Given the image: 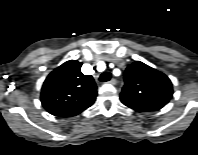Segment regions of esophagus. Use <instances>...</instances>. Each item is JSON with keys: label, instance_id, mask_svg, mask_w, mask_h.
Masks as SVG:
<instances>
[{"label": "esophagus", "instance_id": "1", "mask_svg": "<svg viewBox=\"0 0 198 155\" xmlns=\"http://www.w3.org/2000/svg\"><path fill=\"white\" fill-rule=\"evenodd\" d=\"M108 83L115 85L117 83L116 79L112 78Z\"/></svg>", "mask_w": 198, "mask_h": 155}]
</instances>
